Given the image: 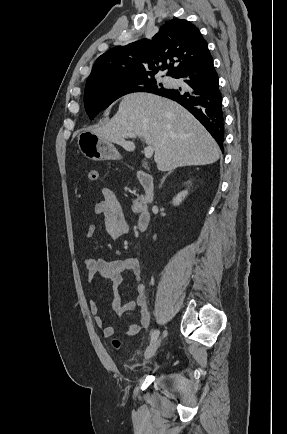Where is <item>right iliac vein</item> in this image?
Listing matches in <instances>:
<instances>
[{"label": "right iliac vein", "mask_w": 287, "mask_h": 434, "mask_svg": "<svg viewBox=\"0 0 287 434\" xmlns=\"http://www.w3.org/2000/svg\"><path fill=\"white\" fill-rule=\"evenodd\" d=\"M160 343H161V339L158 338V339L154 340V341H153V342L148 346V348L146 349V351H145V353H144V358H145V360L150 359V358L155 354V352L157 351V349H158L159 346H160Z\"/></svg>", "instance_id": "obj_1"}]
</instances>
